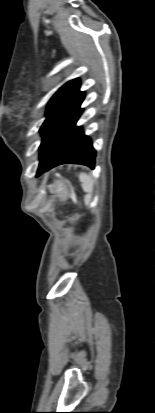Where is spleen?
Returning <instances> with one entry per match:
<instances>
[{
  "instance_id": "1",
  "label": "spleen",
  "mask_w": 155,
  "mask_h": 413,
  "mask_svg": "<svg viewBox=\"0 0 155 413\" xmlns=\"http://www.w3.org/2000/svg\"><path fill=\"white\" fill-rule=\"evenodd\" d=\"M79 179L82 183V188L87 193L85 196V204L88 206L92 199L94 181L91 176L86 173H80Z\"/></svg>"
}]
</instances>
